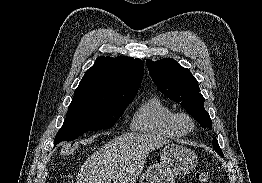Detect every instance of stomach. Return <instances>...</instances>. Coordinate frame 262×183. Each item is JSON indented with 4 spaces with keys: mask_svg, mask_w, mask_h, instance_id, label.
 I'll return each instance as SVG.
<instances>
[{
    "mask_svg": "<svg viewBox=\"0 0 262 183\" xmlns=\"http://www.w3.org/2000/svg\"><path fill=\"white\" fill-rule=\"evenodd\" d=\"M196 154L183 146L170 143L161 153L160 162L150 166L139 183H175V177L188 174L197 166Z\"/></svg>",
    "mask_w": 262,
    "mask_h": 183,
    "instance_id": "1",
    "label": "stomach"
}]
</instances>
